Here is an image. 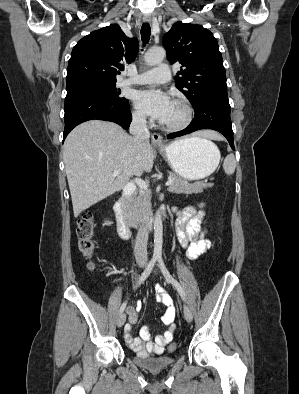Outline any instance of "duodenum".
<instances>
[{
    "label": "duodenum",
    "instance_id": "410a0bca",
    "mask_svg": "<svg viewBox=\"0 0 299 394\" xmlns=\"http://www.w3.org/2000/svg\"><path fill=\"white\" fill-rule=\"evenodd\" d=\"M135 190H136V186L134 183L127 184L122 195L117 199V201L114 204V209L116 211L117 219H118V232L121 237H127L132 230V225L130 223V218L127 211V203L129 198L134 194ZM161 216L164 217L165 214L162 213ZM153 224L154 221H150L145 226V228L147 230H151Z\"/></svg>",
    "mask_w": 299,
    "mask_h": 394
}]
</instances>
